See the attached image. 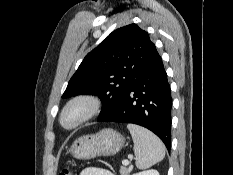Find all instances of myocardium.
Listing matches in <instances>:
<instances>
[{
    "label": "myocardium",
    "mask_w": 233,
    "mask_h": 175,
    "mask_svg": "<svg viewBox=\"0 0 233 175\" xmlns=\"http://www.w3.org/2000/svg\"><path fill=\"white\" fill-rule=\"evenodd\" d=\"M102 108L101 99L92 93H81L71 97L63 106L59 115V124L66 130H72L95 117ZM75 109H80L79 116L72 122L66 117Z\"/></svg>",
    "instance_id": "1"
}]
</instances>
